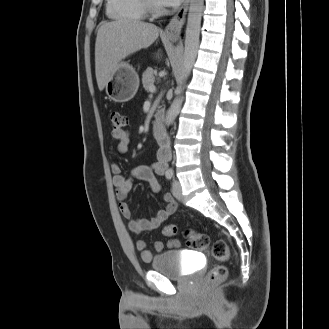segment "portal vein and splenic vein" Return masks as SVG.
Wrapping results in <instances>:
<instances>
[{
    "label": "portal vein and splenic vein",
    "mask_w": 329,
    "mask_h": 329,
    "mask_svg": "<svg viewBox=\"0 0 329 329\" xmlns=\"http://www.w3.org/2000/svg\"><path fill=\"white\" fill-rule=\"evenodd\" d=\"M149 91L151 93H154L156 91V87L152 84L150 87H149Z\"/></svg>",
    "instance_id": "18ae733b"
}]
</instances>
